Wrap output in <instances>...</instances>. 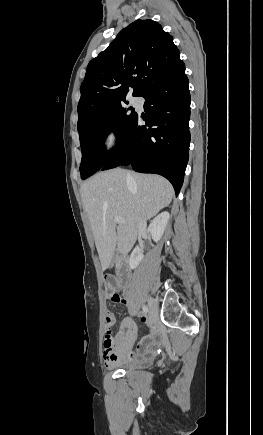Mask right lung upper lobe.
I'll use <instances>...</instances> for the list:
<instances>
[{
	"label": "right lung upper lobe",
	"mask_w": 263,
	"mask_h": 435,
	"mask_svg": "<svg viewBox=\"0 0 263 435\" xmlns=\"http://www.w3.org/2000/svg\"><path fill=\"white\" fill-rule=\"evenodd\" d=\"M180 63L172 36L160 24L150 19L131 23L89 62L80 88L78 128L125 101L130 90L141 96Z\"/></svg>",
	"instance_id": "cb5924a9"
}]
</instances>
